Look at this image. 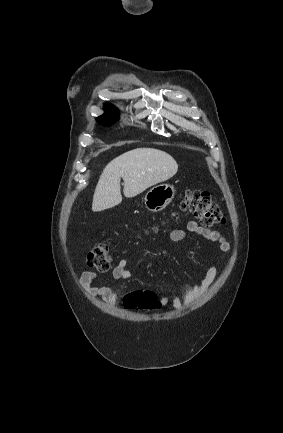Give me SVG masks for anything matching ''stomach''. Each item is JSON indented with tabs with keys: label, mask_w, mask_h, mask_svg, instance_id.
<instances>
[{
	"label": "stomach",
	"mask_w": 283,
	"mask_h": 433,
	"mask_svg": "<svg viewBox=\"0 0 283 433\" xmlns=\"http://www.w3.org/2000/svg\"><path fill=\"white\" fill-rule=\"evenodd\" d=\"M174 196L175 188L173 184H156L145 194L146 208L152 210V212H158V210L165 208Z\"/></svg>",
	"instance_id": "1"
}]
</instances>
